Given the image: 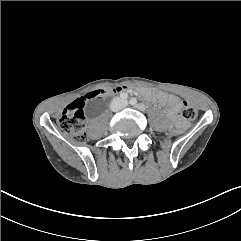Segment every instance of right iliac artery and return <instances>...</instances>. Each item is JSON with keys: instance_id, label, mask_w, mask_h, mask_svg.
Wrapping results in <instances>:
<instances>
[{"instance_id": "82829eb1", "label": "right iliac artery", "mask_w": 241, "mask_h": 241, "mask_svg": "<svg viewBox=\"0 0 241 241\" xmlns=\"http://www.w3.org/2000/svg\"><path fill=\"white\" fill-rule=\"evenodd\" d=\"M120 98H121L122 100H126V99L128 98V94H127V93H121V94H120Z\"/></svg>"}]
</instances>
